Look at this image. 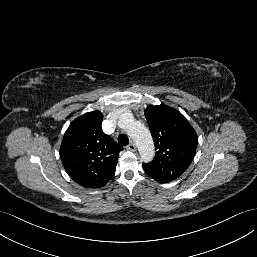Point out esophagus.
<instances>
[{
	"instance_id": "1",
	"label": "esophagus",
	"mask_w": 257,
	"mask_h": 257,
	"mask_svg": "<svg viewBox=\"0 0 257 257\" xmlns=\"http://www.w3.org/2000/svg\"><path fill=\"white\" fill-rule=\"evenodd\" d=\"M127 149L130 150V151H136V145L134 143H130L127 146Z\"/></svg>"
}]
</instances>
